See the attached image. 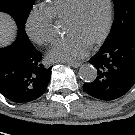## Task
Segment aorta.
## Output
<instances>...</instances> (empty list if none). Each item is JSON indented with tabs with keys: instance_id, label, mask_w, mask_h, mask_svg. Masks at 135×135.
I'll list each match as a JSON object with an SVG mask.
<instances>
[{
	"instance_id": "1",
	"label": "aorta",
	"mask_w": 135,
	"mask_h": 135,
	"mask_svg": "<svg viewBox=\"0 0 135 135\" xmlns=\"http://www.w3.org/2000/svg\"><path fill=\"white\" fill-rule=\"evenodd\" d=\"M79 75L84 82H93L97 77V70L92 64H83L79 69Z\"/></svg>"
}]
</instances>
